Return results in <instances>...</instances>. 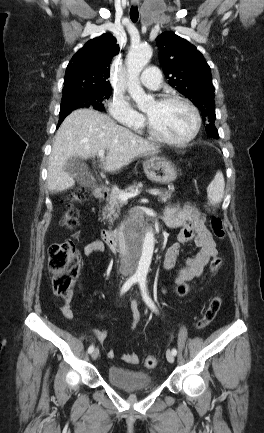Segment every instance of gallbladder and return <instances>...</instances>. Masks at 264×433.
<instances>
[{
	"label": "gallbladder",
	"instance_id": "obj_1",
	"mask_svg": "<svg viewBox=\"0 0 264 433\" xmlns=\"http://www.w3.org/2000/svg\"><path fill=\"white\" fill-rule=\"evenodd\" d=\"M65 171L73 176V178L84 187H93V178L87 166L83 163L80 157H71L66 165Z\"/></svg>",
	"mask_w": 264,
	"mask_h": 433
}]
</instances>
